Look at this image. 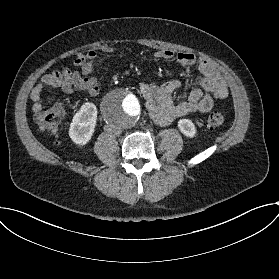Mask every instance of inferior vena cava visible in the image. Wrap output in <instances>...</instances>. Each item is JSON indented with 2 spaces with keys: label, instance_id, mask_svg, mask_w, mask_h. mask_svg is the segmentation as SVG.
<instances>
[{
  "label": "inferior vena cava",
  "instance_id": "1",
  "mask_svg": "<svg viewBox=\"0 0 279 279\" xmlns=\"http://www.w3.org/2000/svg\"><path fill=\"white\" fill-rule=\"evenodd\" d=\"M112 132H113V134H115V135H120V134L122 133V131H121V130H118V129H116V130L112 129Z\"/></svg>",
  "mask_w": 279,
  "mask_h": 279
}]
</instances>
